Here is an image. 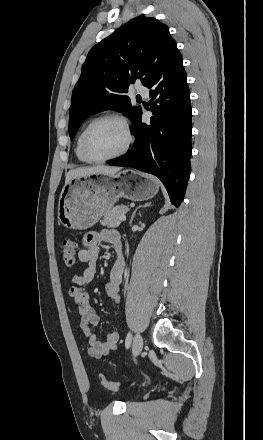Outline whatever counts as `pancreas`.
Listing matches in <instances>:
<instances>
[{
	"label": "pancreas",
	"mask_w": 263,
	"mask_h": 440,
	"mask_svg": "<svg viewBox=\"0 0 263 440\" xmlns=\"http://www.w3.org/2000/svg\"><path fill=\"white\" fill-rule=\"evenodd\" d=\"M127 211L128 208L126 206H116L103 216L101 224L107 227H118L122 222L119 218L120 215H125Z\"/></svg>",
	"instance_id": "1"
}]
</instances>
